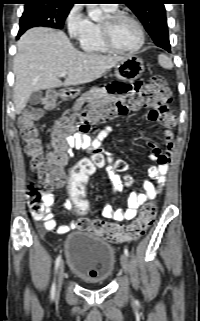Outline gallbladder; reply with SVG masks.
I'll return each instance as SVG.
<instances>
[{
  "label": "gallbladder",
  "mask_w": 200,
  "mask_h": 321,
  "mask_svg": "<svg viewBox=\"0 0 200 321\" xmlns=\"http://www.w3.org/2000/svg\"><path fill=\"white\" fill-rule=\"evenodd\" d=\"M42 97H43L42 91L33 92L30 95L28 102L30 103V105H38L42 100Z\"/></svg>",
  "instance_id": "obj_1"
}]
</instances>
